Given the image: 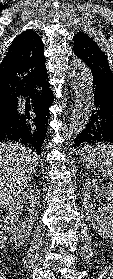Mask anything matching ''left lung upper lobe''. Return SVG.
I'll list each match as a JSON object with an SVG mask.
<instances>
[{
    "instance_id": "left-lung-upper-lobe-1",
    "label": "left lung upper lobe",
    "mask_w": 113,
    "mask_h": 279,
    "mask_svg": "<svg viewBox=\"0 0 113 279\" xmlns=\"http://www.w3.org/2000/svg\"><path fill=\"white\" fill-rule=\"evenodd\" d=\"M73 41L75 55L89 66L92 74H97L113 82V73L107 57L93 39L84 32H79L74 36Z\"/></svg>"
}]
</instances>
